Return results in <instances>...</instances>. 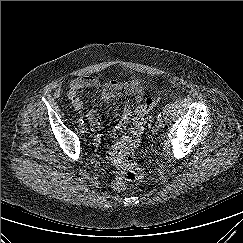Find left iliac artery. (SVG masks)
<instances>
[{"label": "left iliac artery", "instance_id": "1", "mask_svg": "<svg viewBox=\"0 0 243 243\" xmlns=\"http://www.w3.org/2000/svg\"><path fill=\"white\" fill-rule=\"evenodd\" d=\"M157 118H158V119H162V118H161V114H159Z\"/></svg>", "mask_w": 243, "mask_h": 243}]
</instances>
